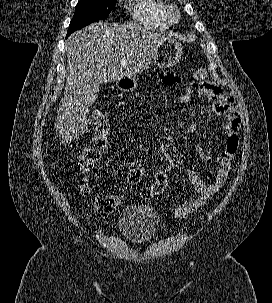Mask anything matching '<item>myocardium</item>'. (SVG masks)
Listing matches in <instances>:
<instances>
[{"label":"myocardium","mask_w":272,"mask_h":303,"mask_svg":"<svg viewBox=\"0 0 272 303\" xmlns=\"http://www.w3.org/2000/svg\"><path fill=\"white\" fill-rule=\"evenodd\" d=\"M166 15L170 23H176L179 20L178 10L173 6L167 8Z\"/></svg>","instance_id":"1"}]
</instances>
